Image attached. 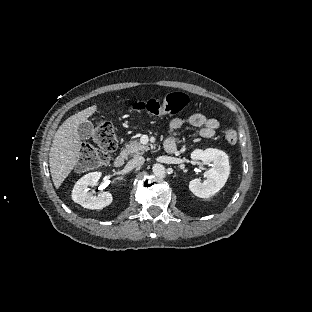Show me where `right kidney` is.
<instances>
[{
    "label": "right kidney",
    "instance_id": "ca27d5eb",
    "mask_svg": "<svg viewBox=\"0 0 312 312\" xmlns=\"http://www.w3.org/2000/svg\"><path fill=\"white\" fill-rule=\"evenodd\" d=\"M101 172H91L80 178L72 190V200L87 209H103L111 204L113 198L111 193L102 192L94 196L88 192L89 186H95L101 177Z\"/></svg>",
    "mask_w": 312,
    "mask_h": 312
}]
</instances>
